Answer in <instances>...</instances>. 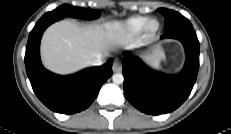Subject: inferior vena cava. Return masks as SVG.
I'll list each match as a JSON object with an SVG mask.
<instances>
[{"label": "inferior vena cava", "mask_w": 231, "mask_h": 134, "mask_svg": "<svg viewBox=\"0 0 231 134\" xmlns=\"http://www.w3.org/2000/svg\"><path fill=\"white\" fill-rule=\"evenodd\" d=\"M103 62H104V56H99V57L95 58L94 60H92L90 62V65L99 66V65H102Z\"/></svg>", "instance_id": "602c4592"}]
</instances>
